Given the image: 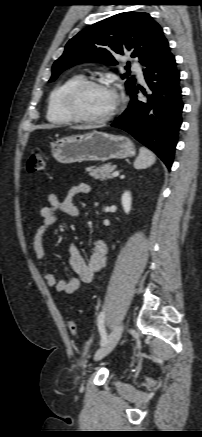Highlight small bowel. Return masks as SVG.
<instances>
[{
	"label": "small bowel",
	"mask_w": 202,
	"mask_h": 437,
	"mask_svg": "<svg viewBox=\"0 0 202 437\" xmlns=\"http://www.w3.org/2000/svg\"><path fill=\"white\" fill-rule=\"evenodd\" d=\"M90 192V186L86 183L74 185L68 191L66 197L60 200L54 192L48 194V205L40 209L39 215L42 219L40 226L37 228L33 237V249L37 263L43 267L45 285L48 288L54 287L57 292L68 294L77 292L82 283L88 284L93 282L105 266L107 258V246L104 241L96 240L91 246V255L88 260L84 258L75 244L69 247V264L75 273L70 279H58L46 267V254L43 247V237L46 231L57 222L59 214L77 216L80 209L76 203L77 196Z\"/></svg>",
	"instance_id": "1"
}]
</instances>
